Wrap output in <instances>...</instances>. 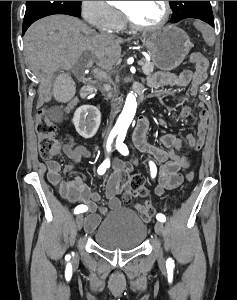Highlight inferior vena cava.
<instances>
[{"instance_id": "obj_1", "label": "inferior vena cava", "mask_w": 237, "mask_h": 300, "mask_svg": "<svg viewBox=\"0 0 237 300\" xmlns=\"http://www.w3.org/2000/svg\"><path fill=\"white\" fill-rule=\"evenodd\" d=\"M100 37H110V39H113L112 33H105V31H101ZM114 97H116V95H114ZM112 109H115L114 103L112 105ZM111 115H114V111H112ZM111 123H112V121H111ZM111 123H110V125H111Z\"/></svg>"}]
</instances>
